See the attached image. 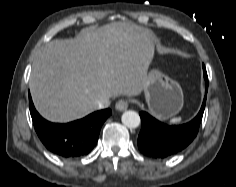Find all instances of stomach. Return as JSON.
<instances>
[{"label":"stomach","instance_id":"1","mask_svg":"<svg viewBox=\"0 0 236 187\" xmlns=\"http://www.w3.org/2000/svg\"><path fill=\"white\" fill-rule=\"evenodd\" d=\"M144 95L151 113L163 120L176 115L183 107L181 86L158 70L149 72Z\"/></svg>","mask_w":236,"mask_h":187}]
</instances>
